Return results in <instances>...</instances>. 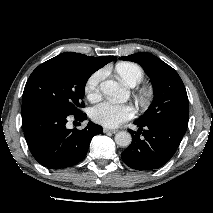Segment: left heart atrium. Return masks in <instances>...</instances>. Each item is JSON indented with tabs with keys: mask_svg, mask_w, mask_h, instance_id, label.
Masks as SVG:
<instances>
[{
	"mask_svg": "<svg viewBox=\"0 0 213 213\" xmlns=\"http://www.w3.org/2000/svg\"><path fill=\"white\" fill-rule=\"evenodd\" d=\"M90 116L94 122L104 127L114 128L130 120L134 116V108L130 104L105 101L94 106Z\"/></svg>",
	"mask_w": 213,
	"mask_h": 213,
	"instance_id": "obj_1",
	"label": "left heart atrium"
}]
</instances>
